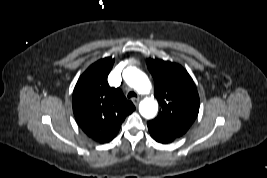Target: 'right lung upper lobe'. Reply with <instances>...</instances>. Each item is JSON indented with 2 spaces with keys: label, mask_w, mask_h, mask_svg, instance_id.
Segmentation results:
<instances>
[{
  "label": "right lung upper lobe",
  "mask_w": 267,
  "mask_h": 178,
  "mask_svg": "<svg viewBox=\"0 0 267 178\" xmlns=\"http://www.w3.org/2000/svg\"><path fill=\"white\" fill-rule=\"evenodd\" d=\"M114 59L107 57L92 64L79 78L73 92V112L82 131L99 143L110 142L125 117L135 106L120 88L107 82Z\"/></svg>",
  "instance_id": "cb5924a9"
}]
</instances>
